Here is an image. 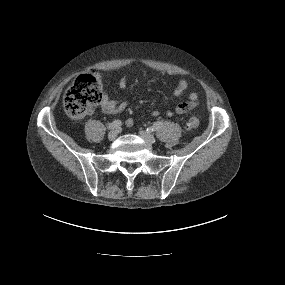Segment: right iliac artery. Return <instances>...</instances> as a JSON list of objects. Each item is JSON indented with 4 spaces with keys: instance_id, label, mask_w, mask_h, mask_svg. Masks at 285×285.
Segmentation results:
<instances>
[{
    "instance_id": "82829eb1",
    "label": "right iliac artery",
    "mask_w": 285,
    "mask_h": 285,
    "mask_svg": "<svg viewBox=\"0 0 285 285\" xmlns=\"http://www.w3.org/2000/svg\"><path fill=\"white\" fill-rule=\"evenodd\" d=\"M121 126V121L120 120H114L112 123L108 125V130H114L117 129Z\"/></svg>"
}]
</instances>
